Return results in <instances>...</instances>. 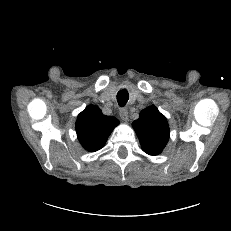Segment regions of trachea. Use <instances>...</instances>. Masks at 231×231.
Here are the masks:
<instances>
[{"label": "trachea", "instance_id": "1", "mask_svg": "<svg viewBox=\"0 0 231 231\" xmlns=\"http://www.w3.org/2000/svg\"><path fill=\"white\" fill-rule=\"evenodd\" d=\"M128 99H129V94H128L127 90L121 89L117 93V101H118L119 106H121V107L125 106Z\"/></svg>", "mask_w": 231, "mask_h": 231}]
</instances>
